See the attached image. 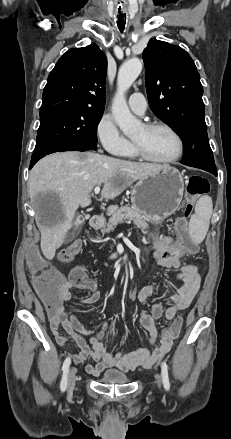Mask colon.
<instances>
[{
    "label": "colon",
    "mask_w": 231,
    "mask_h": 439,
    "mask_svg": "<svg viewBox=\"0 0 231 439\" xmlns=\"http://www.w3.org/2000/svg\"><path fill=\"white\" fill-rule=\"evenodd\" d=\"M187 190L189 200L184 207V217L179 218L175 224L179 244L182 247V250H179L177 255L174 257V262L178 263L187 262L188 254H195L197 251V247L189 234L186 218L192 212L194 200L209 191V183L202 177L192 176L189 178ZM79 251L80 243H72L61 252L60 259L63 262H70L79 253ZM27 254L30 257L29 259L25 260V267L31 268L34 272V290L37 292V295L41 297V304L46 309L45 315L49 317L50 320H57L59 316L57 309L60 307L58 292L61 282V275L57 274L56 271L50 268L49 259H44L43 257L40 258L38 256L41 254L39 246H31V248L28 249ZM70 279L81 289L93 291L97 288L96 282L87 276V273L83 267L79 266L74 268L70 274ZM147 283L161 282L158 281ZM139 287L136 290H138ZM181 327L182 319L178 318L169 328L164 330L162 337L173 341L178 337Z\"/></svg>",
    "instance_id": "obj_1"
}]
</instances>
